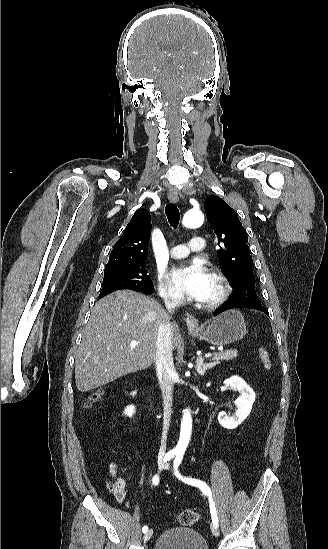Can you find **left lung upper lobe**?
Returning <instances> with one entry per match:
<instances>
[{"mask_svg": "<svg viewBox=\"0 0 328 549\" xmlns=\"http://www.w3.org/2000/svg\"><path fill=\"white\" fill-rule=\"evenodd\" d=\"M204 208L210 227L218 236L221 271L233 288V300L259 301L255 291L247 232L236 212L217 196H208Z\"/></svg>", "mask_w": 328, "mask_h": 549, "instance_id": "left-lung-upper-lobe-1", "label": "left lung upper lobe"}]
</instances>
